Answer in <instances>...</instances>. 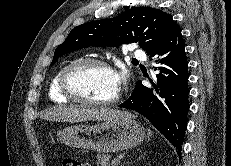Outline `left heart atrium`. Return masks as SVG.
Masks as SVG:
<instances>
[{
  "label": "left heart atrium",
  "mask_w": 231,
  "mask_h": 166,
  "mask_svg": "<svg viewBox=\"0 0 231 166\" xmlns=\"http://www.w3.org/2000/svg\"><path fill=\"white\" fill-rule=\"evenodd\" d=\"M115 78H116L117 86L120 89L121 85L125 80V75L123 73H115Z\"/></svg>",
  "instance_id": "39dd6f15"
}]
</instances>
